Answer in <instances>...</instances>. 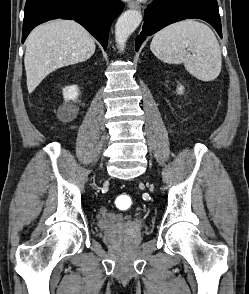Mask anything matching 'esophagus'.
Returning <instances> with one entry per match:
<instances>
[{
	"label": "esophagus",
	"mask_w": 249,
	"mask_h": 294,
	"mask_svg": "<svg viewBox=\"0 0 249 294\" xmlns=\"http://www.w3.org/2000/svg\"><path fill=\"white\" fill-rule=\"evenodd\" d=\"M128 7H129L130 9H136V10H140V9H141L139 3L136 2V1H132V2H130V3L128 4Z\"/></svg>",
	"instance_id": "obj_1"
}]
</instances>
